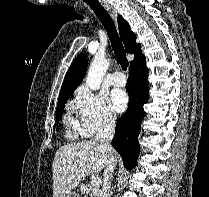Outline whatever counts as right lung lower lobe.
<instances>
[{"instance_id":"right-lung-lower-lobe-1","label":"right lung lower lobe","mask_w":209,"mask_h":197,"mask_svg":"<svg viewBox=\"0 0 209 197\" xmlns=\"http://www.w3.org/2000/svg\"><path fill=\"white\" fill-rule=\"evenodd\" d=\"M148 69L145 57L130 65L127 90L129 92V107L117 121L113 147L121 155L124 166L134 168L139 154L138 135L144 117L143 105L149 99L147 81Z\"/></svg>"}]
</instances>
